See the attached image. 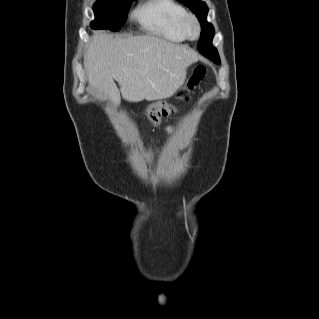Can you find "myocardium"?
<instances>
[{"mask_svg": "<svg viewBox=\"0 0 319 319\" xmlns=\"http://www.w3.org/2000/svg\"><path fill=\"white\" fill-rule=\"evenodd\" d=\"M182 31L187 39L195 40L201 34V27L194 14L187 13L181 24Z\"/></svg>", "mask_w": 319, "mask_h": 319, "instance_id": "myocardium-1", "label": "myocardium"}]
</instances>
